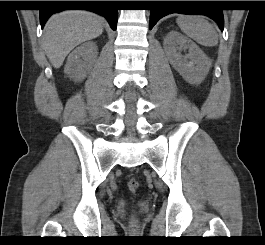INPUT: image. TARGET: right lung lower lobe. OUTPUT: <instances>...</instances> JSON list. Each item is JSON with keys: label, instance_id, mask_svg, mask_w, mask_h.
<instances>
[{"label": "right lung lower lobe", "instance_id": "obj_1", "mask_svg": "<svg viewBox=\"0 0 265 245\" xmlns=\"http://www.w3.org/2000/svg\"><path fill=\"white\" fill-rule=\"evenodd\" d=\"M55 5H65L63 3L54 2ZM76 6L87 7L86 10L95 12L101 16H104L109 22L111 28L116 30L118 10L116 9L115 1H83L82 3L76 4ZM63 11L62 9H42L40 10V23L43 28L48 18L56 12Z\"/></svg>", "mask_w": 265, "mask_h": 245}]
</instances>
